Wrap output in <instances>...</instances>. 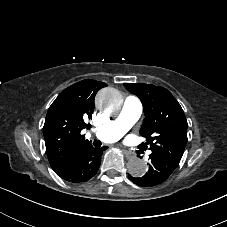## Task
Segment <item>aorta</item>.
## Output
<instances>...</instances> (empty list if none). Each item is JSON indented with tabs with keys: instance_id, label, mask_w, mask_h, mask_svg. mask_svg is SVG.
I'll list each match as a JSON object with an SVG mask.
<instances>
[{
	"instance_id": "obj_1",
	"label": "aorta",
	"mask_w": 227,
	"mask_h": 227,
	"mask_svg": "<svg viewBox=\"0 0 227 227\" xmlns=\"http://www.w3.org/2000/svg\"><path fill=\"white\" fill-rule=\"evenodd\" d=\"M122 96L114 88H104L96 96V105L101 108L105 114H114L121 109ZM128 172L133 177H142L147 172V163L140 158H132L127 164Z\"/></svg>"
}]
</instances>
